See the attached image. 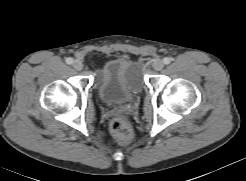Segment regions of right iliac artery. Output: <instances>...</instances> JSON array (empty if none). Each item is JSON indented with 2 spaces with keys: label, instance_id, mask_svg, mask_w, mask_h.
Wrapping results in <instances>:
<instances>
[{
  "label": "right iliac artery",
  "instance_id": "obj_1",
  "mask_svg": "<svg viewBox=\"0 0 246 181\" xmlns=\"http://www.w3.org/2000/svg\"><path fill=\"white\" fill-rule=\"evenodd\" d=\"M66 63L67 64H72L73 63V59L72 58H66Z\"/></svg>",
  "mask_w": 246,
  "mask_h": 181
}]
</instances>
